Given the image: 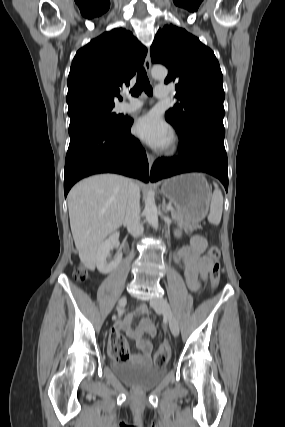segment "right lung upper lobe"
<instances>
[{
  "instance_id": "obj_1",
  "label": "right lung upper lobe",
  "mask_w": 285,
  "mask_h": 427,
  "mask_svg": "<svg viewBox=\"0 0 285 427\" xmlns=\"http://www.w3.org/2000/svg\"><path fill=\"white\" fill-rule=\"evenodd\" d=\"M147 49L130 31L116 28L76 53L68 76V114L89 106L114 105L120 87L129 85Z\"/></svg>"
}]
</instances>
